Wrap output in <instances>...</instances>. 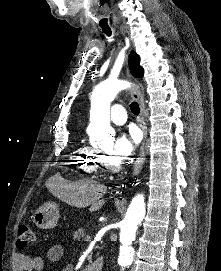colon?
<instances>
[{"label":"colon","mask_w":221,"mask_h":271,"mask_svg":"<svg viewBox=\"0 0 221 271\" xmlns=\"http://www.w3.org/2000/svg\"><path fill=\"white\" fill-rule=\"evenodd\" d=\"M37 242L38 238L34 228L29 224L21 223L16 239V249L22 252L27 250L30 246H34Z\"/></svg>","instance_id":"obj_1"}]
</instances>
